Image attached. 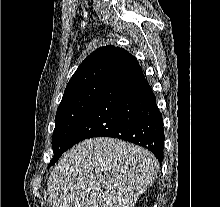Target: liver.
I'll return each instance as SVG.
<instances>
[{"label":"liver","instance_id":"liver-1","mask_svg":"<svg viewBox=\"0 0 220 207\" xmlns=\"http://www.w3.org/2000/svg\"><path fill=\"white\" fill-rule=\"evenodd\" d=\"M159 162L147 149L107 137L66 152L47 182L53 207H134L157 178Z\"/></svg>","mask_w":220,"mask_h":207}]
</instances>
